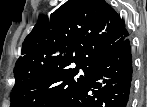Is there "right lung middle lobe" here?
Returning <instances> with one entry per match:
<instances>
[{
	"label": "right lung middle lobe",
	"instance_id": "1",
	"mask_svg": "<svg viewBox=\"0 0 147 107\" xmlns=\"http://www.w3.org/2000/svg\"><path fill=\"white\" fill-rule=\"evenodd\" d=\"M96 67L76 65L57 70L20 71L15 74L11 107H56L78 90ZM30 76V79H28Z\"/></svg>",
	"mask_w": 147,
	"mask_h": 107
}]
</instances>
